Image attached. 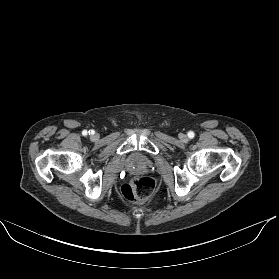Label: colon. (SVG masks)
I'll list each match as a JSON object with an SVG mask.
<instances>
[{
  "instance_id": "5ec220e1",
  "label": "colon",
  "mask_w": 279,
  "mask_h": 279,
  "mask_svg": "<svg viewBox=\"0 0 279 279\" xmlns=\"http://www.w3.org/2000/svg\"><path fill=\"white\" fill-rule=\"evenodd\" d=\"M155 189V181L147 176L135 177L121 187V195L134 204H143Z\"/></svg>"
}]
</instances>
